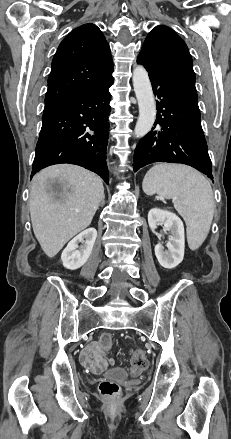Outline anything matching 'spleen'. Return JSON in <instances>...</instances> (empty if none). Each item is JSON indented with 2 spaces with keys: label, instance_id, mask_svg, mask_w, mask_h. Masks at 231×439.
<instances>
[{
  "label": "spleen",
  "instance_id": "obj_1",
  "mask_svg": "<svg viewBox=\"0 0 231 439\" xmlns=\"http://www.w3.org/2000/svg\"><path fill=\"white\" fill-rule=\"evenodd\" d=\"M143 191L174 200V207L187 226L192 250L206 239L214 215V198L209 181L195 169L175 164H158L145 175Z\"/></svg>",
  "mask_w": 231,
  "mask_h": 439
}]
</instances>
